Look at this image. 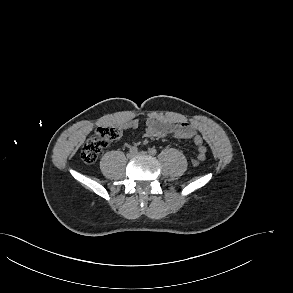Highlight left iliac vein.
I'll list each match as a JSON object with an SVG mask.
<instances>
[{
    "mask_svg": "<svg viewBox=\"0 0 293 293\" xmlns=\"http://www.w3.org/2000/svg\"><path fill=\"white\" fill-rule=\"evenodd\" d=\"M137 156H145L147 155V153L145 151H141V152H138L136 153Z\"/></svg>",
    "mask_w": 293,
    "mask_h": 293,
    "instance_id": "obj_1",
    "label": "left iliac vein"
}]
</instances>
